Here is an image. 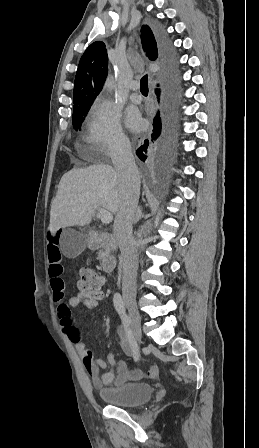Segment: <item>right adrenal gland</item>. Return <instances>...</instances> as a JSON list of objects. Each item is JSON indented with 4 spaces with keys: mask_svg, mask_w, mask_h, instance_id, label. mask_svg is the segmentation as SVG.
I'll use <instances>...</instances> for the list:
<instances>
[{
    "mask_svg": "<svg viewBox=\"0 0 259 448\" xmlns=\"http://www.w3.org/2000/svg\"><path fill=\"white\" fill-rule=\"evenodd\" d=\"M142 216H143V214H142L140 208H138L134 224H136V222H138V220H141Z\"/></svg>",
    "mask_w": 259,
    "mask_h": 448,
    "instance_id": "obj_1",
    "label": "right adrenal gland"
}]
</instances>
